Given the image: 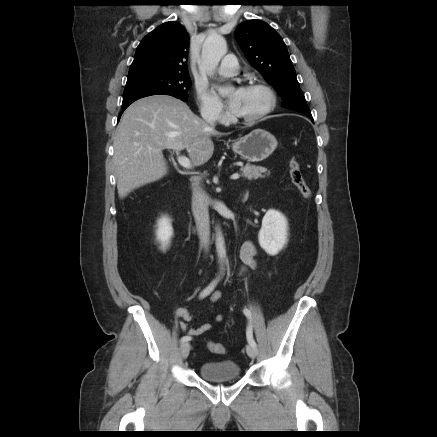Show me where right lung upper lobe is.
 <instances>
[{
    "instance_id": "obj_1",
    "label": "right lung upper lobe",
    "mask_w": 437,
    "mask_h": 437,
    "mask_svg": "<svg viewBox=\"0 0 437 437\" xmlns=\"http://www.w3.org/2000/svg\"><path fill=\"white\" fill-rule=\"evenodd\" d=\"M188 49L189 34L186 29L175 21L166 22L142 39L129 72L188 74Z\"/></svg>"
}]
</instances>
